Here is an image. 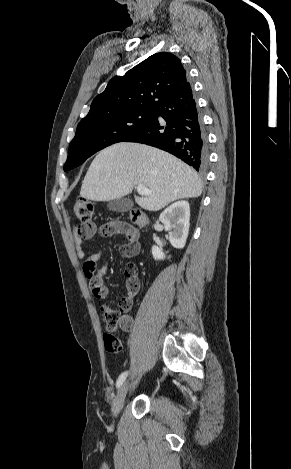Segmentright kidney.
<instances>
[{
	"label": "right kidney",
	"mask_w": 291,
	"mask_h": 469,
	"mask_svg": "<svg viewBox=\"0 0 291 469\" xmlns=\"http://www.w3.org/2000/svg\"><path fill=\"white\" fill-rule=\"evenodd\" d=\"M159 220L163 223L165 230L169 232V241L174 248L182 249L185 246L190 220V207L187 201H178L166 208L160 215ZM152 255L155 260H163L165 254L161 247L153 246Z\"/></svg>",
	"instance_id": "right-kidney-1"
}]
</instances>
